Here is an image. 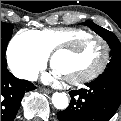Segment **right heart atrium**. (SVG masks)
I'll list each match as a JSON object with an SVG mask.
<instances>
[{
	"label": "right heart atrium",
	"instance_id": "d8ad5b80",
	"mask_svg": "<svg viewBox=\"0 0 121 121\" xmlns=\"http://www.w3.org/2000/svg\"><path fill=\"white\" fill-rule=\"evenodd\" d=\"M46 62V56L29 41H21L16 35L8 48V63L22 78H33Z\"/></svg>",
	"mask_w": 121,
	"mask_h": 121
}]
</instances>
